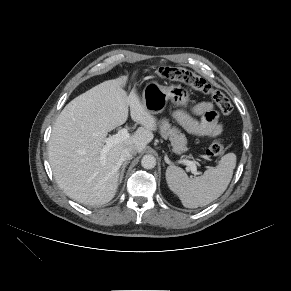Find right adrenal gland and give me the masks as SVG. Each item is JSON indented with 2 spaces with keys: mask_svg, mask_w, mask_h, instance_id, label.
I'll list each match as a JSON object with an SVG mask.
<instances>
[{
  "mask_svg": "<svg viewBox=\"0 0 291 291\" xmlns=\"http://www.w3.org/2000/svg\"><path fill=\"white\" fill-rule=\"evenodd\" d=\"M129 164V161H125L121 167L120 173H119V183H121V181L123 180V176H124V172H125V168L126 166Z\"/></svg>",
  "mask_w": 291,
  "mask_h": 291,
  "instance_id": "2a0ac1e0",
  "label": "right adrenal gland"
}]
</instances>
